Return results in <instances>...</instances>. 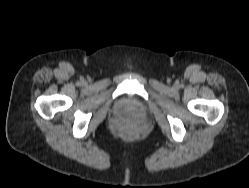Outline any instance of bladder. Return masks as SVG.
I'll return each mask as SVG.
<instances>
[{
	"label": "bladder",
	"instance_id": "31cf9c89",
	"mask_svg": "<svg viewBox=\"0 0 249 188\" xmlns=\"http://www.w3.org/2000/svg\"><path fill=\"white\" fill-rule=\"evenodd\" d=\"M117 110L124 115L140 116L144 112V106L138 100L127 98L118 103Z\"/></svg>",
	"mask_w": 249,
	"mask_h": 188
}]
</instances>
